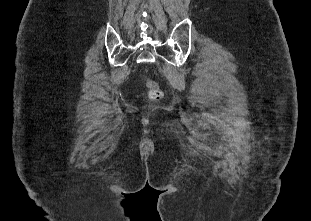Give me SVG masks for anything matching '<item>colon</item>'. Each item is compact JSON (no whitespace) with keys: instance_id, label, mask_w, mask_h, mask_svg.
Listing matches in <instances>:
<instances>
[{"instance_id":"5ec220e1","label":"colon","mask_w":311,"mask_h":221,"mask_svg":"<svg viewBox=\"0 0 311 221\" xmlns=\"http://www.w3.org/2000/svg\"><path fill=\"white\" fill-rule=\"evenodd\" d=\"M146 86L149 89L151 99L157 100L162 97V91L157 87L155 83L147 82Z\"/></svg>"}]
</instances>
